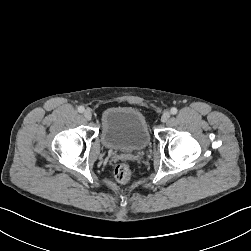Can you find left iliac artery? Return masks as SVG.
<instances>
[{
	"label": "left iliac artery",
	"mask_w": 251,
	"mask_h": 251,
	"mask_svg": "<svg viewBox=\"0 0 251 251\" xmlns=\"http://www.w3.org/2000/svg\"><path fill=\"white\" fill-rule=\"evenodd\" d=\"M170 112H171V114L175 115L178 112V110H177V108L172 107Z\"/></svg>",
	"instance_id": "left-iliac-artery-1"
}]
</instances>
